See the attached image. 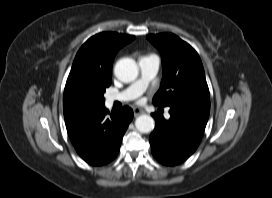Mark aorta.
<instances>
[{"label": "aorta", "instance_id": "762f6f07", "mask_svg": "<svg viewBox=\"0 0 272 198\" xmlns=\"http://www.w3.org/2000/svg\"><path fill=\"white\" fill-rule=\"evenodd\" d=\"M138 66L133 59L122 58L117 61L114 74L122 82L128 83L138 76ZM135 126L141 133H149L154 129L155 121L150 115H141L135 120Z\"/></svg>", "mask_w": 272, "mask_h": 198}]
</instances>
